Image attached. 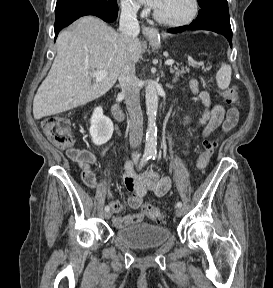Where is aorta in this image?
Returning a JSON list of instances; mask_svg holds the SVG:
<instances>
[{"label":"aorta","instance_id":"obj_1","mask_svg":"<svg viewBox=\"0 0 273 288\" xmlns=\"http://www.w3.org/2000/svg\"><path fill=\"white\" fill-rule=\"evenodd\" d=\"M146 113L148 116V128L146 133L145 154H156L157 127L156 114L158 109V95L153 83H149L145 90Z\"/></svg>","mask_w":273,"mask_h":288}]
</instances>
